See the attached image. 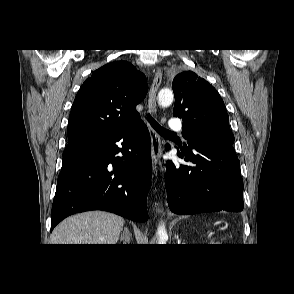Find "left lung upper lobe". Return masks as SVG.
<instances>
[{
    "instance_id": "left-lung-upper-lobe-1",
    "label": "left lung upper lobe",
    "mask_w": 294,
    "mask_h": 294,
    "mask_svg": "<svg viewBox=\"0 0 294 294\" xmlns=\"http://www.w3.org/2000/svg\"><path fill=\"white\" fill-rule=\"evenodd\" d=\"M172 88L173 115L182 118L187 143L197 140L233 144L224 102L211 84L192 71H184L174 78Z\"/></svg>"
}]
</instances>
